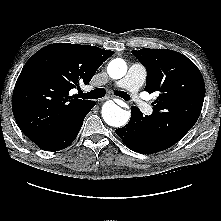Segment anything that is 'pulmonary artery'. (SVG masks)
I'll return each mask as SVG.
<instances>
[{
    "label": "pulmonary artery",
    "mask_w": 221,
    "mask_h": 221,
    "mask_svg": "<svg viewBox=\"0 0 221 221\" xmlns=\"http://www.w3.org/2000/svg\"><path fill=\"white\" fill-rule=\"evenodd\" d=\"M147 72L144 66L134 63L130 66L126 76L117 81L115 86L129 91L132 99L138 104L141 111L145 114L152 112V107L143 101L138 93L140 87L146 80Z\"/></svg>",
    "instance_id": "pulmonary-artery-1"
}]
</instances>
